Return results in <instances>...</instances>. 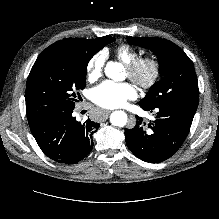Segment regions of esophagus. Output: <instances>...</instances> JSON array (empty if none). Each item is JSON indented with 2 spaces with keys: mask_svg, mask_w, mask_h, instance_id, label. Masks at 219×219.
<instances>
[{
  "mask_svg": "<svg viewBox=\"0 0 219 219\" xmlns=\"http://www.w3.org/2000/svg\"><path fill=\"white\" fill-rule=\"evenodd\" d=\"M111 113V110H104V113H103V120L107 119V117L110 115Z\"/></svg>",
  "mask_w": 219,
  "mask_h": 219,
  "instance_id": "obj_1",
  "label": "esophagus"
}]
</instances>
